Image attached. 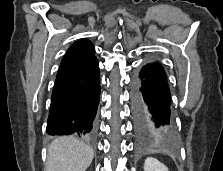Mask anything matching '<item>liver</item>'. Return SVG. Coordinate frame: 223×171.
<instances>
[{"label":"liver","instance_id":"obj_1","mask_svg":"<svg viewBox=\"0 0 223 171\" xmlns=\"http://www.w3.org/2000/svg\"><path fill=\"white\" fill-rule=\"evenodd\" d=\"M93 149L73 137H58L48 146L45 171H86Z\"/></svg>","mask_w":223,"mask_h":171}]
</instances>
